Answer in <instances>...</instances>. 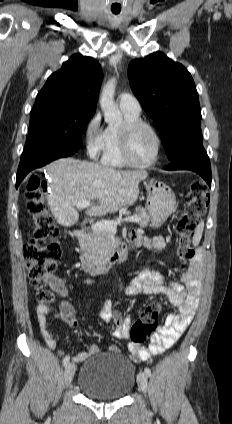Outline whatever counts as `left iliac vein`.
Returning <instances> with one entry per match:
<instances>
[{"mask_svg": "<svg viewBox=\"0 0 232 424\" xmlns=\"http://www.w3.org/2000/svg\"><path fill=\"white\" fill-rule=\"evenodd\" d=\"M137 383L140 387V389L143 392H146L147 390V385H148V379H147V375L144 372H139L138 376H137Z\"/></svg>", "mask_w": 232, "mask_h": 424, "instance_id": "4c4485c4", "label": "left iliac vein"}]
</instances>
